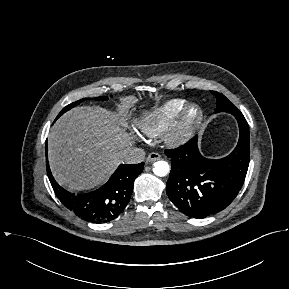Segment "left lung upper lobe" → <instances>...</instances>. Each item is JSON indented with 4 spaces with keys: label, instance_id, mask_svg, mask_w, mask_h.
Listing matches in <instances>:
<instances>
[{
    "label": "left lung upper lobe",
    "instance_id": "left-lung-upper-lobe-1",
    "mask_svg": "<svg viewBox=\"0 0 289 289\" xmlns=\"http://www.w3.org/2000/svg\"><path fill=\"white\" fill-rule=\"evenodd\" d=\"M217 99V108L215 112H228L236 116V114H242L224 95L211 91Z\"/></svg>",
    "mask_w": 289,
    "mask_h": 289
}]
</instances>
